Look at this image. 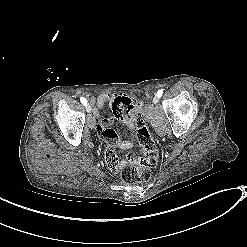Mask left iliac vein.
Listing matches in <instances>:
<instances>
[{
  "mask_svg": "<svg viewBox=\"0 0 247 247\" xmlns=\"http://www.w3.org/2000/svg\"><path fill=\"white\" fill-rule=\"evenodd\" d=\"M153 102H154V104H158V102H159V97H158V96H155L154 99H153Z\"/></svg>",
  "mask_w": 247,
  "mask_h": 247,
  "instance_id": "obj_1",
  "label": "left iliac vein"
}]
</instances>
